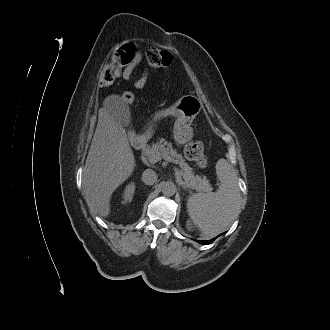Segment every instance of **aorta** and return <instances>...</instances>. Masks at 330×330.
<instances>
[{
	"instance_id": "762f6f07",
	"label": "aorta",
	"mask_w": 330,
	"mask_h": 330,
	"mask_svg": "<svg viewBox=\"0 0 330 330\" xmlns=\"http://www.w3.org/2000/svg\"><path fill=\"white\" fill-rule=\"evenodd\" d=\"M176 190V186L173 182L166 181L162 184V193L165 196H173Z\"/></svg>"
}]
</instances>
